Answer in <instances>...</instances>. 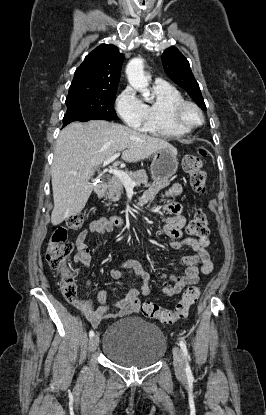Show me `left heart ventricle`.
Listing matches in <instances>:
<instances>
[{
  "mask_svg": "<svg viewBox=\"0 0 266 415\" xmlns=\"http://www.w3.org/2000/svg\"><path fill=\"white\" fill-rule=\"evenodd\" d=\"M187 119L190 122L197 123L199 121V116L194 110L190 109L187 111Z\"/></svg>",
  "mask_w": 266,
  "mask_h": 415,
  "instance_id": "obj_1",
  "label": "left heart ventricle"
}]
</instances>
